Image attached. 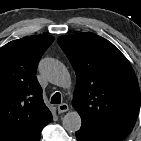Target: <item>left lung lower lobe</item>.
I'll return each mask as SVG.
<instances>
[{"label":"left lung lower lobe","instance_id":"left-lung-lower-lobe-1","mask_svg":"<svg viewBox=\"0 0 141 141\" xmlns=\"http://www.w3.org/2000/svg\"><path fill=\"white\" fill-rule=\"evenodd\" d=\"M75 134L78 141H115V140H111L108 138L101 137L97 134H94L85 128H81Z\"/></svg>","mask_w":141,"mask_h":141}]
</instances>
